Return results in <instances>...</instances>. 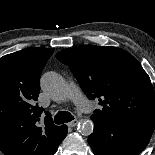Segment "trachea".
Wrapping results in <instances>:
<instances>
[{"label": "trachea", "instance_id": "obj_1", "mask_svg": "<svg viewBox=\"0 0 155 155\" xmlns=\"http://www.w3.org/2000/svg\"><path fill=\"white\" fill-rule=\"evenodd\" d=\"M74 119L73 115L69 112L59 111L55 116L56 124H63L65 122H70Z\"/></svg>", "mask_w": 155, "mask_h": 155}]
</instances>
